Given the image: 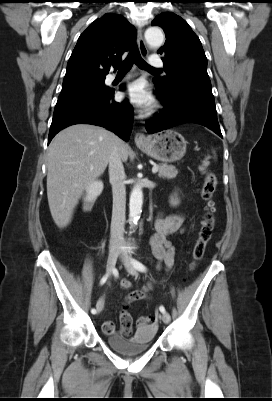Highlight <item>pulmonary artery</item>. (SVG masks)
Instances as JSON below:
<instances>
[{"mask_svg":"<svg viewBox=\"0 0 272 401\" xmlns=\"http://www.w3.org/2000/svg\"><path fill=\"white\" fill-rule=\"evenodd\" d=\"M149 65L153 68H158L163 66V61L159 56H152L149 59ZM109 80H114V76H110Z\"/></svg>","mask_w":272,"mask_h":401,"instance_id":"pulmonary-artery-1","label":"pulmonary artery"}]
</instances>
